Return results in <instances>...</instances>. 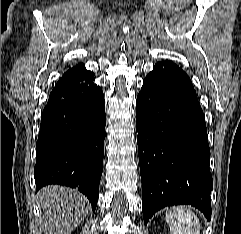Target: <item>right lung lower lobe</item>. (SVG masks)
<instances>
[{
    "mask_svg": "<svg viewBox=\"0 0 241 234\" xmlns=\"http://www.w3.org/2000/svg\"><path fill=\"white\" fill-rule=\"evenodd\" d=\"M105 105L94 73L83 64L68 70L56 83L43 110L36 143V190L48 184L77 188L98 201L103 171Z\"/></svg>",
    "mask_w": 241,
    "mask_h": 234,
    "instance_id": "obj_1",
    "label": "right lung lower lobe"
}]
</instances>
